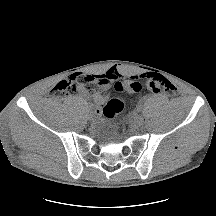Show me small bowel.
Listing matches in <instances>:
<instances>
[{
  "label": "small bowel",
  "mask_w": 216,
  "mask_h": 216,
  "mask_svg": "<svg viewBox=\"0 0 216 216\" xmlns=\"http://www.w3.org/2000/svg\"><path fill=\"white\" fill-rule=\"evenodd\" d=\"M110 80H118L121 79L123 77V75L115 68H111L109 69L106 74H105ZM108 95L107 94H96L94 95V103L97 106H101L104 104V102L106 101Z\"/></svg>",
  "instance_id": "small-bowel-1"
}]
</instances>
